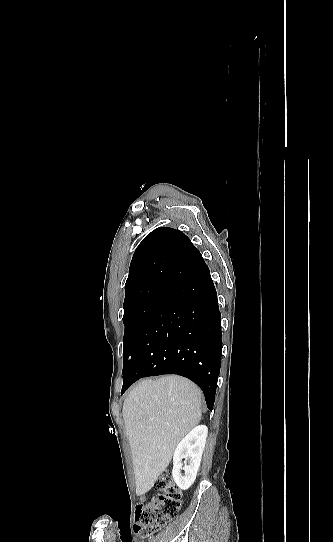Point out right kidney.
<instances>
[{"label":"right kidney","instance_id":"right-kidney-1","mask_svg":"<svg viewBox=\"0 0 333 542\" xmlns=\"http://www.w3.org/2000/svg\"><path fill=\"white\" fill-rule=\"evenodd\" d=\"M207 434V426H196L179 442L174 452L172 476L180 490H188L196 480ZM184 458L186 462L183 466ZM181 470H184V474H181Z\"/></svg>","mask_w":333,"mask_h":542}]
</instances>
